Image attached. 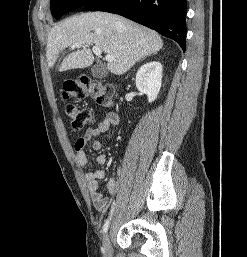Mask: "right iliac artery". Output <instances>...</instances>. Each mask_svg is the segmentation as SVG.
<instances>
[{
  "instance_id": "right-iliac-artery-1",
  "label": "right iliac artery",
  "mask_w": 247,
  "mask_h": 257,
  "mask_svg": "<svg viewBox=\"0 0 247 257\" xmlns=\"http://www.w3.org/2000/svg\"><path fill=\"white\" fill-rule=\"evenodd\" d=\"M114 208H115V201L112 204L110 215H109L108 219L105 221V224L103 226V233H106L109 228V224H110L113 212H114Z\"/></svg>"
}]
</instances>
